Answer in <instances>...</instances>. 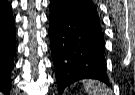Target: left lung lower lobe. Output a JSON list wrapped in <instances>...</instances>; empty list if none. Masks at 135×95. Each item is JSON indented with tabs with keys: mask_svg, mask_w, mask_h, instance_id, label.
Here are the masks:
<instances>
[{
	"mask_svg": "<svg viewBox=\"0 0 135 95\" xmlns=\"http://www.w3.org/2000/svg\"><path fill=\"white\" fill-rule=\"evenodd\" d=\"M49 37L58 92L82 79L109 84L102 28L87 18L61 10L50 3Z\"/></svg>",
	"mask_w": 135,
	"mask_h": 95,
	"instance_id": "1",
	"label": "left lung lower lobe"
}]
</instances>
